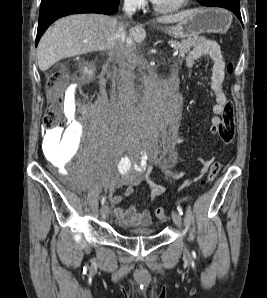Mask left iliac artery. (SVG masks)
I'll return each instance as SVG.
<instances>
[{
    "label": "left iliac artery",
    "mask_w": 267,
    "mask_h": 298,
    "mask_svg": "<svg viewBox=\"0 0 267 298\" xmlns=\"http://www.w3.org/2000/svg\"><path fill=\"white\" fill-rule=\"evenodd\" d=\"M177 210H178V212H179V214L180 215H182L183 214V210H182V207L181 206H177Z\"/></svg>",
    "instance_id": "44dca946"
}]
</instances>
